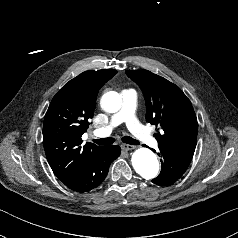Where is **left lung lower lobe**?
Instances as JSON below:
<instances>
[{
    "mask_svg": "<svg viewBox=\"0 0 238 238\" xmlns=\"http://www.w3.org/2000/svg\"><path fill=\"white\" fill-rule=\"evenodd\" d=\"M161 172L152 182L160 186H170L175 183L187 170L193 155L159 148ZM155 151V150H153Z\"/></svg>",
    "mask_w": 238,
    "mask_h": 238,
    "instance_id": "0a47b994",
    "label": "left lung lower lobe"
}]
</instances>
